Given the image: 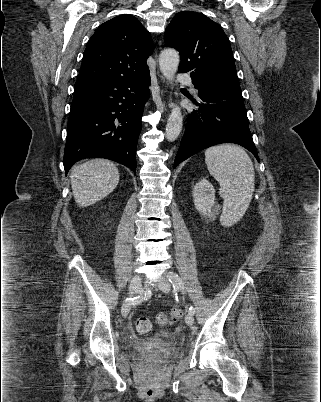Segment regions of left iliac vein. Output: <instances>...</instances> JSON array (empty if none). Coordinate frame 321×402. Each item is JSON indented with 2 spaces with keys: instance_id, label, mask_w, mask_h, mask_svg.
I'll list each match as a JSON object with an SVG mask.
<instances>
[{
  "instance_id": "left-iliac-vein-1",
  "label": "left iliac vein",
  "mask_w": 321,
  "mask_h": 402,
  "mask_svg": "<svg viewBox=\"0 0 321 402\" xmlns=\"http://www.w3.org/2000/svg\"><path fill=\"white\" fill-rule=\"evenodd\" d=\"M159 289L164 292V293H168L170 291V282L168 281L166 276H162L161 279L159 280V285H158ZM185 322L187 325L192 326L194 324V318L193 315L191 314H187L185 316Z\"/></svg>"
}]
</instances>
